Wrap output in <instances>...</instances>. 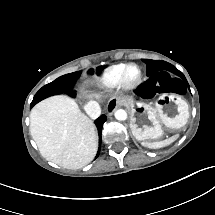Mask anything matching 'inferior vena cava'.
<instances>
[{"label":"inferior vena cava","instance_id":"obj_1","mask_svg":"<svg viewBox=\"0 0 215 215\" xmlns=\"http://www.w3.org/2000/svg\"><path fill=\"white\" fill-rule=\"evenodd\" d=\"M84 110L87 113L89 117L92 119H96L100 116L101 114V108L96 101H89L85 106Z\"/></svg>","mask_w":215,"mask_h":215}]
</instances>
